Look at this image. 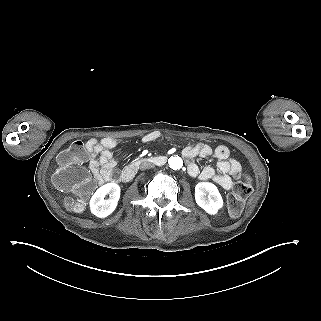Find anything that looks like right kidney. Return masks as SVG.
<instances>
[{"mask_svg":"<svg viewBox=\"0 0 321 321\" xmlns=\"http://www.w3.org/2000/svg\"><path fill=\"white\" fill-rule=\"evenodd\" d=\"M109 195L108 199H105ZM120 198V187L116 183H107L96 190L90 200L92 214L104 218L110 215L116 208Z\"/></svg>","mask_w":321,"mask_h":321,"instance_id":"ca27d5eb","label":"right kidney"}]
</instances>
